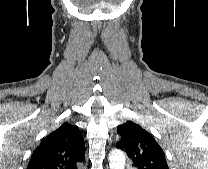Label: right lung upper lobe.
Listing matches in <instances>:
<instances>
[{"instance_id": "1", "label": "right lung upper lobe", "mask_w": 208, "mask_h": 169, "mask_svg": "<svg viewBox=\"0 0 208 169\" xmlns=\"http://www.w3.org/2000/svg\"><path fill=\"white\" fill-rule=\"evenodd\" d=\"M84 156L85 144L79 128L64 123L34 150L27 169H76Z\"/></svg>"}]
</instances>
